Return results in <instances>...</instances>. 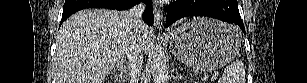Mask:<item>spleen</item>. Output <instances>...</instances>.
Segmentation results:
<instances>
[{"instance_id": "spleen-1", "label": "spleen", "mask_w": 307, "mask_h": 83, "mask_svg": "<svg viewBox=\"0 0 307 83\" xmlns=\"http://www.w3.org/2000/svg\"><path fill=\"white\" fill-rule=\"evenodd\" d=\"M218 83H246L242 61L236 60L228 65Z\"/></svg>"}]
</instances>
